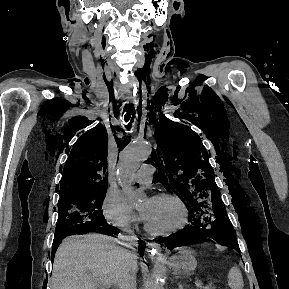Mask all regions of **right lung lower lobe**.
<instances>
[{
	"instance_id": "right-lung-lower-lobe-1",
	"label": "right lung lower lobe",
	"mask_w": 289,
	"mask_h": 289,
	"mask_svg": "<svg viewBox=\"0 0 289 289\" xmlns=\"http://www.w3.org/2000/svg\"><path fill=\"white\" fill-rule=\"evenodd\" d=\"M88 232H98V233H102V234H105V235H109V236H114L115 234L118 233V230L109 225L106 220L101 222V223H95V224H88V225H84L78 229H75V230H72L70 232L69 235H72V234H84V233H88ZM68 235V236H69ZM64 238V236H55V239H54V242H53V248H52V254H53V257H52V261L54 259V254L56 252V249L60 243V241ZM140 250L142 252H144V249H145V245H143V247L139 246Z\"/></svg>"
}]
</instances>
